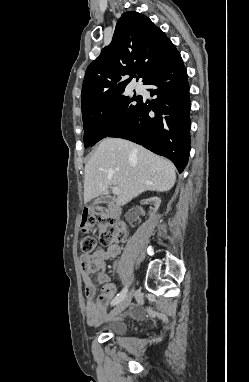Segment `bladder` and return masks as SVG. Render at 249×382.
<instances>
[{
	"label": "bladder",
	"instance_id": "bladder-1",
	"mask_svg": "<svg viewBox=\"0 0 249 382\" xmlns=\"http://www.w3.org/2000/svg\"><path fill=\"white\" fill-rule=\"evenodd\" d=\"M107 328L109 333L121 336L127 332L128 326L124 321H115L109 324Z\"/></svg>",
	"mask_w": 249,
	"mask_h": 382
}]
</instances>
